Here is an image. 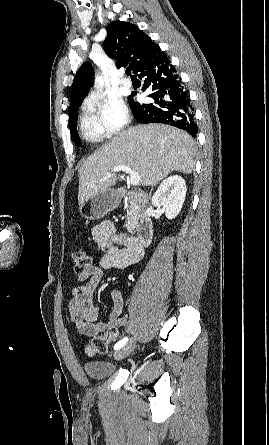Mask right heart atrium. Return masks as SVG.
I'll return each instance as SVG.
<instances>
[{
  "label": "right heart atrium",
  "mask_w": 269,
  "mask_h": 445,
  "mask_svg": "<svg viewBox=\"0 0 269 445\" xmlns=\"http://www.w3.org/2000/svg\"><path fill=\"white\" fill-rule=\"evenodd\" d=\"M86 109L109 135L123 130L130 120L129 110L118 96L93 93L86 100Z\"/></svg>",
  "instance_id": "right-heart-atrium-1"
}]
</instances>
